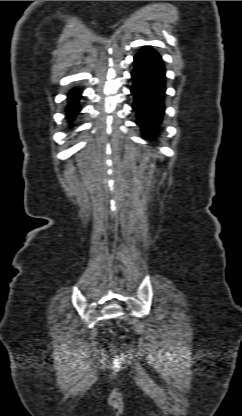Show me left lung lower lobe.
Returning <instances> with one entry per match:
<instances>
[{
  "label": "left lung lower lobe",
  "instance_id": "0a47b994",
  "mask_svg": "<svg viewBox=\"0 0 242 416\" xmlns=\"http://www.w3.org/2000/svg\"><path fill=\"white\" fill-rule=\"evenodd\" d=\"M134 63L130 90L134 96L132 108L143 139H152L158 134L165 113V68L160 55L150 47L142 48L134 57Z\"/></svg>",
  "mask_w": 242,
  "mask_h": 416
}]
</instances>
